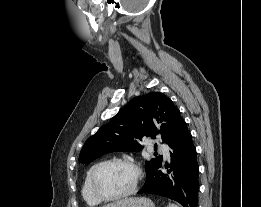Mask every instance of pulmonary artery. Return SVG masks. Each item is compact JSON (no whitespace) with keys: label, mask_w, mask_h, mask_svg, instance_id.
<instances>
[{"label":"pulmonary artery","mask_w":261,"mask_h":207,"mask_svg":"<svg viewBox=\"0 0 261 207\" xmlns=\"http://www.w3.org/2000/svg\"><path fill=\"white\" fill-rule=\"evenodd\" d=\"M162 149H164V152H165V157H168V152H167V150H165V148L161 145L160 146Z\"/></svg>","instance_id":"obj_1"}]
</instances>
